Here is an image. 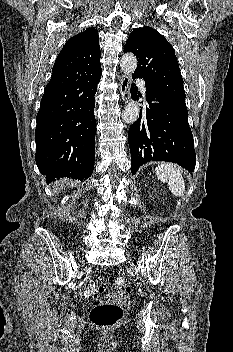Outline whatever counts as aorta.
Returning <instances> with one entry per match:
<instances>
[{
  "mask_svg": "<svg viewBox=\"0 0 233 352\" xmlns=\"http://www.w3.org/2000/svg\"><path fill=\"white\" fill-rule=\"evenodd\" d=\"M121 70L124 72L126 75H132L137 67V58L134 54L132 53H127L124 54L121 58V63H120ZM140 113V107L137 102L131 101L127 104L125 107L123 114H122V119L124 122L131 124L134 123Z\"/></svg>",
  "mask_w": 233,
  "mask_h": 352,
  "instance_id": "762f6f07",
  "label": "aorta"
}]
</instances>
